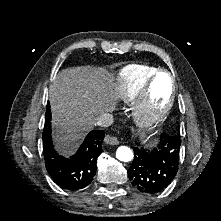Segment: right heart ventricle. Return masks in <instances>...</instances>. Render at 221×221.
<instances>
[{"instance_id": "1", "label": "right heart ventricle", "mask_w": 221, "mask_h": 221, "mask_svg": "<svg viewBox=\"0 0 221 221\" xmlns=\"http://www.w3.org/2000/svg\"><path fill=\"white\" fill-rule=\"evenodd\" d=\"M157 68L132 64L120 71L121 97L129 103L134 101L149 82Z\"/></svg>"}]
</instances>
